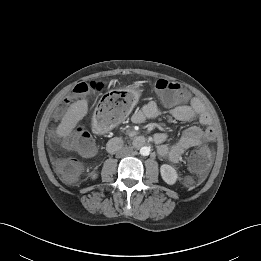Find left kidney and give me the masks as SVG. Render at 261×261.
I'll list each match as a JSON object with an SVG mask.
<instances>
[{
    "instance_id": "1",
    "label": "left kidney",
    "mask_w": 261,
    "mask_h": 261,
    "mask_svg": "<svg viewBox=\"0 0 261 261\" xmlns=\"http://www.w3.org/2000/svg\"><path fill=\"white\" fill-rule=\"evenodd\" d=\"M160 173L162 179L169 185L175 184V182L178 179V174L171 165L168 164L161 165Z\"/></svg>"
}]
</instances>
